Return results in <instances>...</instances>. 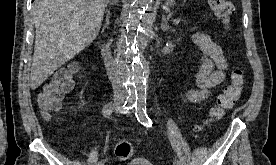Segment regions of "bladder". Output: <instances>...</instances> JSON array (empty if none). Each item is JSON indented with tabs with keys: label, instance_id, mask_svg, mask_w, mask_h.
<instances>
[{
	"label": "bladder",
	"instance_id": "1",
	"mask_svg": "<svg viewBox=\"0 0 276 165\" xmlns=\"http://www.w3.org/2000/svg\"><path fill=\"white\" fill-rule=\"evenodd\" d=\"M125 165H153V164L146 159L135 158L128 161Z\"/></svg>",
	"mask_w": 276,
	"mask_h": 165
}]
</instances>
